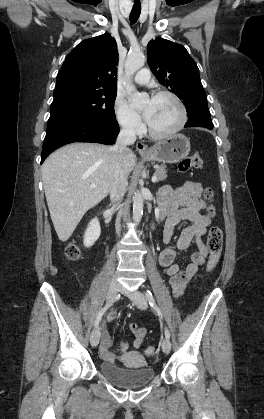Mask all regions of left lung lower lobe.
<instances>
[{"instance_id": "1", "label": "left lung lower lobe", "mask_w": 264, "mask_h": 419, "mask_svg": "<svg viewBox=\"0 0 264 419\" xmlns=\"http://www.w3.org/2000/svg\"><path fill=\"white\" fill-rule=\"evenodd\" d=\"M188 121L185 124V127H204L208 129L213 128V123L210 118V114H208V110H204L203 112H193L191 114H187Z\"/></svg>"}]
</instances>
